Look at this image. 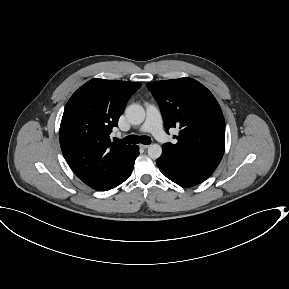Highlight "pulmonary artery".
I'll return each instance as SVG.
<instances>
[{
    "label": "pulmonary artery",
    "instance_id": "pulmonary-artery-1",
    "mask_svg": "<svg viewBox=\"0 0 289 289\" xmlns=\"http://www.w3.org/2000/svg\"><path fill=\"white\" fill-rule=\"evenodd\" d=\"M146 108V120L140 127L139 132H148L154 135L160 141H166L167 135L163 130L162 117L159 109L150 103L145 104Z\"/></svg>",
    "mask_w": 289,
    "mask_h": 289
}]
</instances>
